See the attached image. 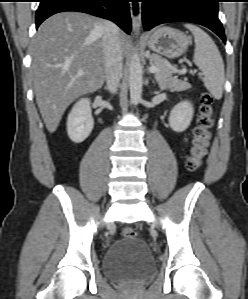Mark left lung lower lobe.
<instances>
[{"instance_id":"obj_1","label":"left lung lower lobe","mask_w":248,"mask_h":299,"mask_svg":"<svg viewBox=\"0 0 248 299\" xmlns=\"http://www.w3.org/2000/svg\"><path fill=\"white\" fill-rule=\"evenodd\" d=\"M219 0H143L142 21L146 31L168 22H192L215 32L226 42L218 18Z\"/></svg>"}]
</instances>
